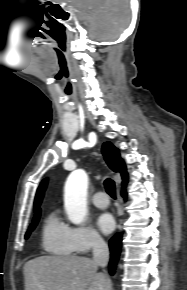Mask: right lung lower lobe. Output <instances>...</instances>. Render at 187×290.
<instances>
[{
  "mask_svg": "<svg viewBox=\"0 0 187 290\" xmlns=\"http://www.w3.org/2000/svg\"><path fill=\"white\" fill-rule=\"evenodd\" d=\"M122 196L125 197L126 193L125 191H122ZM121 242H122V234L118 233L115 236H113L109 242L110 252H111V258L109 262V272L111 274H114L116 263L118 261V257L121 251Z\"/></svg>",
  "mask_w": 187,
  "mask_h": 290,
  "instance_id": "obj_1",
  "label": "right lung lower lobe"
}]
</instances>
